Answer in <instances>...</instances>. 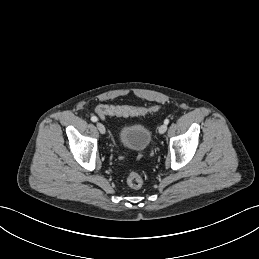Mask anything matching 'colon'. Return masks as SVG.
<instances>
[{"mask_svg":"<svg viewBox=\"0 0 259 259\" xmlns=\"http://www.w3.org/2000/svg\"><path fill=\"white\" fill-rule=\"evenodd\" d=\"M155 107L146 106H114V105H100L97 107V114L101 118L107 116H138L145 115L154 111ZM126 182L129 187L133 189H139L144 185L145 179L138 172H131L128 174Z\"/></svg>","mask_w":259,"mask_h":259,"instance_id":"5ec220e1","label":"colon"}]
</instances>
